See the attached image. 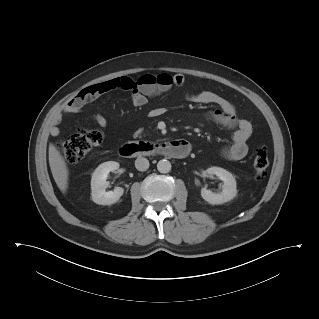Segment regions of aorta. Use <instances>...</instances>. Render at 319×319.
<instances>
[{"label": "aorta", "instance_id": "obj_1", "mask_svg": "<svg viewBox=\"0 0 319 319\" xmlns=\"http://www.w3.org/2000/svg\"><path fill=\"white\" fill-rule=\"evenodd\" d=\"M157 169L160 173H168L171 170V163L166 159H162L157 163Z\"/></svg>", "mask_w": 319, "mask_h": 319}]
</instances>
